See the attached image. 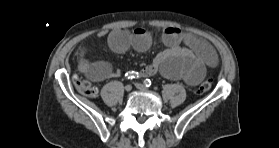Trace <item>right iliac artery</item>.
Instances as JSON below:
<instances>
[{
  "label": "right iliac artery",
  "instance_id": "1",
  "mask_svg": "<svg viewBox=\"0 0 279 148\" xmlns=\"http://www.w3.org/2000/svg\"><path fill=\"white\" fill-rule=\"evenodd\" d=\"M126 78L129 79H134V78H139V73L135 71H129L125 74Z\"/></svg>",
  "mask_w": 279,
  "mask_h": 148
}]
</instances>
